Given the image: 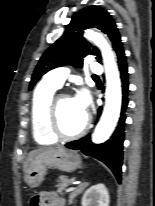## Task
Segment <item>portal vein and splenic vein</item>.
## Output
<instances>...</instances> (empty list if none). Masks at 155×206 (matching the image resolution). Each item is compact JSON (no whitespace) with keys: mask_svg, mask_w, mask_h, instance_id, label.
<instances>
[{"mask_svg":"<svg viewBox=\"0 0 155 206\" xmlns=\"http://www.w3.org/2000/svg\"><path fill=\"white\" fill-rule=\"evenodd\" d=\"M74 189H76V188L75 187L69 188V189L66 190V192L73 191Z\"/></svg>","mask_w":155,"mask_h":206,"instance_id":"obj_1","label":"portal vein and splenic vein"}]
</instances>
